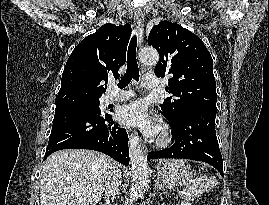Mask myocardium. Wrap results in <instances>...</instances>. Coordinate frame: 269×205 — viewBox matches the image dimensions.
<instances>
[{"mask_svg": "<svg viewBox=\"0 0 269 205\" xmlns=\"http://www.w3.org/2000/svg\"><path fill=\"white\" fill-rule=\"evenodd\" d=\"M169 143V138L167 137L166 134H163L159 137L158 141H157V145L160 147H164Z\"/></svg>", "mask_w": 269, "mask_h": 205, "instance_id": "f54148a6", "label": "myocardium"}]
</instances>
